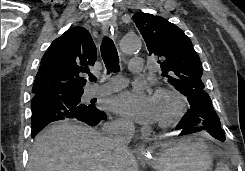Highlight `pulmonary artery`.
Masks as SVG:
<instances>
[{"label":"pulmonary artery","mask_w":245,"mask_h":171,"mask_svg":"<svg viewBox=\"0 0 245 171\" xmlns=\"http://www.w3.org/2000/svg\"><path fill=\"white\" fill-rule=\"evenodd\" d=\"M129 68L131 72H141L143 68L142 59L140 57H134L130 62ZM125 85L126 80L121 76H117L103 86H95L89 88L87 95L89 97H93L110 94L122 89L123 87H125Z\"/></svg>","instance_id":"pulmonary-artery-1"}]
</instances>
